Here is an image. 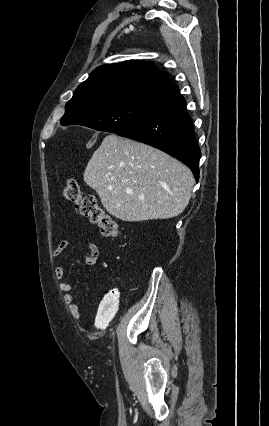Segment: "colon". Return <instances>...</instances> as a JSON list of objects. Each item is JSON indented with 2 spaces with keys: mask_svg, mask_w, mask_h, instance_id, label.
Listing matches in <instances>:
<instances>
[{
  "mask_svg": "<svg viewBox=\"0 0 269 426\" xmlns=\"http://www.w3.org/2000/svg\"><path fill=\"white\" fill-rule=\"evenodd\" d=\"M63 198L75 204L81 216L95 225L105 237L119 236V227L116 220L99 205L93 195H83L76 180H68L62 189Z\"/></svg>",
  "mask_w": 269,
  "mask_h": 426,
  "instance_id": "5ec220e1",
  "label": "colon"
}]
</instances>
